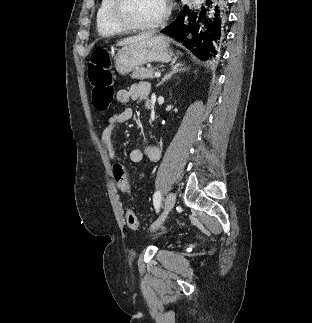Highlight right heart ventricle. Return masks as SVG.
<instances>
[{
  "label": "right heart ventricle",
  "mask_w": 312,
  "mask_h": 323,
  "mask_svg": "<svg viewBox=\"0 0 312 323\" xmlns=\"http://www.w3.org/2000/svg\"><path fill=\"white\" fill-rule=\"evenodd\" d=\"M95 25L103 33H119L120 29H126V22H117V13L113 1H96Z\"/></svg>",
  "instance_id": "right-heart-ventricle-1"
}]
</instances>
